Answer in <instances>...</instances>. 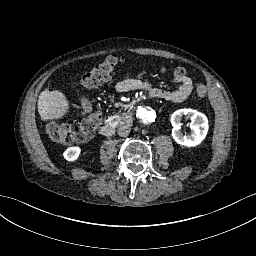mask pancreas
<instances>
[{"label":"pancreas","mask_w":256,"mask_h":256,"mask_svg":"<svg viewBox=\"0 0 256 256\" xmlns=\"http://www.w3.org/2000/svg\"><path fill=\"white\" fill-rule=\"evenodd\" d=\"M131 114L126 112L123 114H114L113 116L108 117V119H105V123H110V125H116L118 124H129L131 123L130 121Z\"/></svg>","instance_id":"cf45deb5"}]
</instances>
